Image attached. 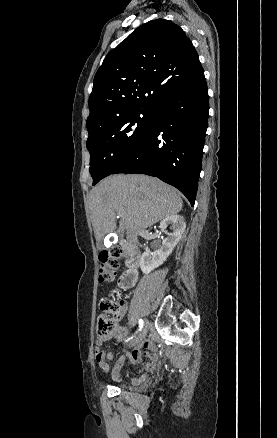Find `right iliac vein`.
I'll return each mask as SVG.
<instances>
[{"mask_svg":"<svg viewBox=\"0 0 277 438\" xmlns=\"http://www.w3.org/2000/svg\"><path fill=\"white\" fill-rule=\"evenodd\" d=\"M148 326H149V322L146 321L140 334L128 344V347H133V346L137 345L146 337L147 332H148Z\"/></svg>","mask_w":277,"mask_h":438,"instance_id":"63e3f726","label":"right iliac vein"}]
</instances>
